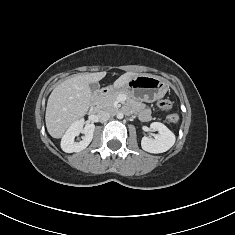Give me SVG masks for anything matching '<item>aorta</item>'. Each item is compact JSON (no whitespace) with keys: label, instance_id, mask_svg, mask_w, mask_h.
Wrapping results in <instances>:
<instances>
[{"label":"aorta","instance_id":"1","mask_svg":"<svg viewBox=\"0 0 235 235\" xmlns=\"http://www.w3.org/2000/svg\"><path fill=\"white\" fill-rule=\"evenodd\" d=\"M123 116H124V115H123V113H122V112H118V113H117V118H118V119H122V118H123Z\"/></svg>","mask_w":235,"mask_h":235}]
</instances>
